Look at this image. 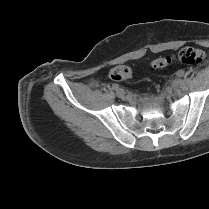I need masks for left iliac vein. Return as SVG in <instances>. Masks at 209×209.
I'll use <instances>...</instances> for the list:
<instances>
[{
	"instance_id": "1",
	"label": "left iliac vein",
	"mask_w": 209,
	"mask_h": 209,
	"mask_svg": "<svg viewBox=\"0 0 209 209\" xmlns=\"http://www.w3.org/2000/svg\"><path fill=\"white\" fill-rule=\"evenodd\" d=\"M182 81H183V80H182V78H181V77H179V76H178V77H176V78H175V80H174V82H173V83H174V87H176V86H177V87H178V86H180V85H181V83H182Z\"/></svg>"
}]
</instances>
